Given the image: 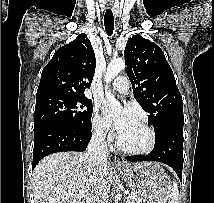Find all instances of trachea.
Here are the masks:
<instances>
[{
	"label": "trachea",
	"mask_w": 214,
	"mask_h": 203,
	"mask_svg": "<svg viewBox=\"0 0 214 203\" xmlns=\"http://www.w3.org/2000/svg\"><path fill=\"white\" fill-rule=\"evenodd\" d=\"M104 26L106 33L111 36L114 30V16L111 9H107L105 12Z\"/></svg>",
	"instance_id": "1"
}]
</instances>
